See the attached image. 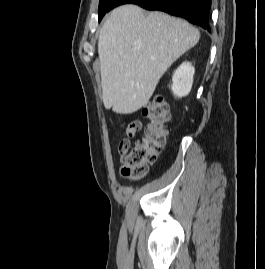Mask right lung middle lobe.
<instances>
[{"label": "right lung middle lobe", "instance_id": "obj_1", "mask_svg": "<svg viewBox=\"0 0 265 269\" xmlns=\"http://www.w3.org/2000/svg\"><path fill=\"white\" fill-rule=\"evenodd\" d=\"M114 0H100L99 4V21L102 19V17L105 15V13L108 11L109 7L113 3Z\"/></svg>", "mask_w": 265, "mask_h": 269}]
</instances>
